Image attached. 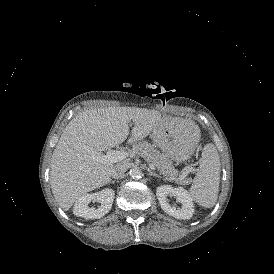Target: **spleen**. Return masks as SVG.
<instances>
[{"label": "spleen", "instance_id": "spleen-1", "mask_svg": "<svg viewBox=\"0 0 274 274\" xmlns=\"http://www.w3.org/2000/svg\"><path fill=\"white\" fill-rule=\"evenodd\" d=\"M220 169L217 149L213 143H208L203 148L199 169L188 190V196L193 202L204 208L214 206L219 192Z\"/></svg>", "mask_w": 274, "mask_h": 274}]
</instances>
